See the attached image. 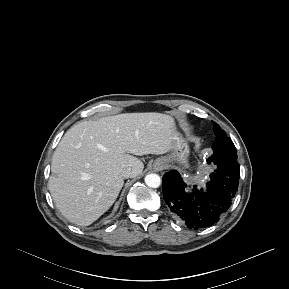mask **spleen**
<instances>
[{"instance_id":"spleen-1","label":"spleen","mask_w":289,"mask_h":289,"mask_svg":"<svg viewBox=\"0 0 289 289\" xmlns=\"http://www.w3.org/2000/svg\"><path fill=\"white\" fill-rule=\"evenodd\" d=\"M192 180L199 183L200 185H202L204 183V180L200 177H195Z\"/></svg>"}]
</instances>
